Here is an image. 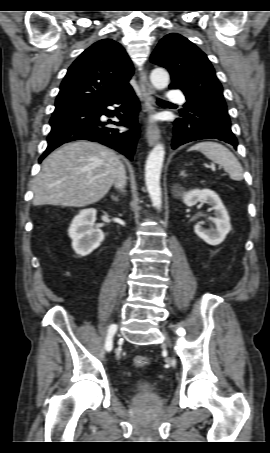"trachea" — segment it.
I'll return each instance as SVG.
<instances>
[{
    "instance_id": "obj_1",
    "label": "trachea",
    "mask_w": 270,
    "mask_h": 453,
    "mask_svg": "<svg viewBox=\"0 0 270 453\" xmlns=\"http://www.w3.org/2000/svg\"><path fill=\"white\" fill-rule=\"evenodd\" d=\"M157 104H159V105H164V104H170V102H167V101L158 99V100H157Z\"/></svg>"
}]
</instances>
